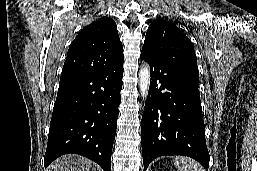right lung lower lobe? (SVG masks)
Listing matches in <instances>:
<instances>
[{
	"label": "right lung lower lobe",
	"instance_id": "98d812e1",
	"mask_svg": "<svg viewBox=\"0 0 257 171\" xmlns=\"http://www.w3.org/2000/svg\"><path fill=\"white\" fill-rule=\"evenodd\" d=\"M123 62L103 70L60 78L44 165L75 153L111 171V152L121 103Z\"/></svg>",
	"mask_w": 257,
	"mask_h": 171
}]
</instances>
